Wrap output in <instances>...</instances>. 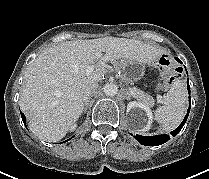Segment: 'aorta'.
I'll use <instances>...</instances> for the list:
<instances>
[{"label": "aorta", "instance_id": "762f6f07", "mask_svg": "<svg viewBox=\"0 0 209 179\" xmlns=\"http://www.w3.org/2000/svg\"><path fill=\"white\" fill-rule=\"evenodd\" d=\"M106 96H115L118 93V86L114 83H108L104 87Z\"/></svg>", "mask_w": 209, "mask_h": 179}]
</instances>
